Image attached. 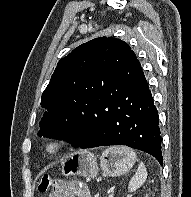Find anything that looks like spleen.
<instances>
[{"instance_id": "3e777b00", "label": "spleen", "mask_w": 191, "mask_h": 197, "mask_svg": "<svg viewBox=\"0 0 191 197\" xmlns=\"http://www.w3.org/2000/svg\"><path fill=\"white\" fill-rule=\"evenodd\" d=\"M110 150L124 156L125 159L132 164L136 160V154L131 148L124 146H116L110 148ZM146 178H147V170L145 165L141 162L138 166L135 175L131 178L129 182L128 190L130 192L135 191L146 181Z\"/></svg>"}]
</instances>
